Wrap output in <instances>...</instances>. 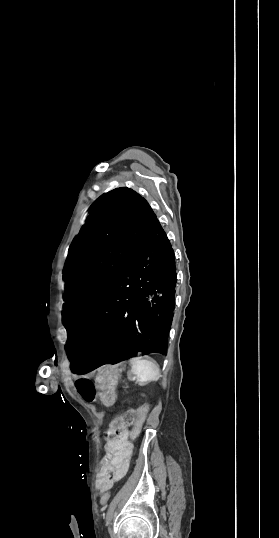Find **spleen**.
Instances as JSON below:
<instances>
[{
    "mask_svg": "<svg viewBox=\"0 0 279 538\" xmlns=\"http://www.w3.org/2000/svg\"><path fill=\"white\" fill-rule=\"evenodd\" d=\"M132 364V372L141 379V384H148L150 382H156L160 374V368L155 362L151 360H142V358H132L130 360Z\"/></svg>",
    "mask_w": 279,
    "mask_h": 538,
    "instance_id": "obj_1",
    "label": "spleen"
}]
</instances>
